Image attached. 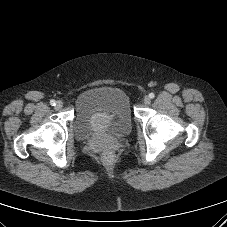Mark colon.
Here are the masks:
<instances>
[{"instance_id": "1", "label": "colon", "mask_w": 227, "mask_h": 227, "mask_svg": "<svg viewBox=\"0 0 227 227\" xmlns=\"http://www.w3.org/2000/svg\"><path fill=\"white\" fill-rule=\"evenodd\" d=\"M103 160L105 163H112L114 160V153L110 150H107L103 153Z\"/></svg>"}]
</instances>
